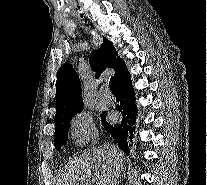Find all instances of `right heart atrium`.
I'll return each mask as SVG.
<instances>
[{"instance_id": "right-heart-atrium-1", "label": "right heart atrium", "mask_w": 207, "mask_h": 185, "mask_svg": "<svg viewBox=\"0 0 207 185\" xmlns=\"http://www.w3.org/2000/svg\"><path fill=\"white\" fill-rule=\"evenodd\" d=\"M69 135L72 141L80 147L88 146L96 141L97 129L89 112L80 111L71 118Z\"/></svg>"}]
</instances>
